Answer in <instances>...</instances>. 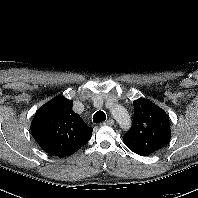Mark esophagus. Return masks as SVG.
<instances>
[{
  "label": "esophagus",
  "instance_id": "34e87169",
  "mask_svg": "<svg viewBox=\"0 0 198 198\" xmlns=\"http://www.w3.org/2000/svg\"><path fill=\"white\" fill-rule=\"evenodd\" d=\"M100 125H101V126H102V125L112 126V125H114V120L110 118V119H108L106 122L100 123Z\"/></svg>",
  "mask_w": 198,
  "mask_h": 198
}]
</instances>
